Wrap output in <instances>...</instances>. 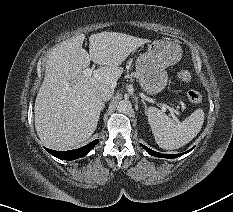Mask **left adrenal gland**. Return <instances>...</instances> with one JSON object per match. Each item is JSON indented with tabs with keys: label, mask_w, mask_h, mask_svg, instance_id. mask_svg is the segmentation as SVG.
<instances>
[{
	"label": "left adrenal gland",
	"mask_w": 233,
	"mask_h": 212,
	"mask_svg": "<svg viewBox=\"0 0 233 212\" xmlns=\"http://www.w3.org/2000/svg\"><path fill=\"white\" fill-rule=\"evenodd\" d=\"M142 103H143V105H144L145 112H146V110H147V105H146V103H145V101H144V100H142Z\"/></svg>",
	"instance_id": "1"
}]
</instances>
